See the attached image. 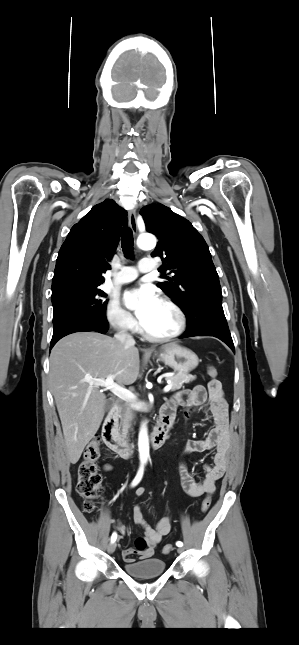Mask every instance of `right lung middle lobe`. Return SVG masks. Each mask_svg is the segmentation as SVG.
<instances>
[{
  "label": "right lung middle lobe",
  "mask_w": 299,
  "mask_h": 645,
  "mask_svg": "<svg viewBox=\"0 0 299 645\" xmlns=\"http://www.w3.org/2000/svg\"><path fill=\"white\" fill-rule=\"evenodd\" d=\"M106 296L98 287L68 288L52 294L53 333L85 319L106 322V301L102 300Z\"/></svg>",
  "instance_id": "right-lung-middle-lobe-1"
}]
</instances>
